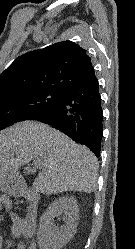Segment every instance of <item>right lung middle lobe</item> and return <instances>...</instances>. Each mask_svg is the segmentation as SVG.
<instances>
[{
    "label": "right lung middle lobe",
    "instance_id": "right-lung-middle-lobe-1",
    "mask_svg": "<svg viewBox=\"0 0 135 249\" xmlns=\"http://www.w3.org/2000/svg\"><path fill=\"white\" fill-rule=\"evenodd\" d=\"M62 92L34 91L19 95L0 97V130L29 119L33 114L55 102Z\"/></svg>",
    "mask_w": 135,
    "mask_h": 249
}]
</instances>
